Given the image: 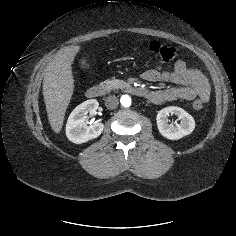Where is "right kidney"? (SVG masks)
Masks as SVG:
<instances>
[{
	"mask_svg": "<svg viewBox=\"0 0 236 236\" xmlns=\"http://www.w3.org/2000/svg\"><path fill=\"white\" fill-rule=\"evenodd\" d=\"M98 106L97 100L90 99L78 105L71 112L66 124V136L71 142L85 143L97 138L103 132V123L94 122L89 126L87 125L88 113L94 115Z\"/></svg>",
	"mask_w": 236,
	"mask_h": 236,
	"instance_id": "1",
	"label": "right kidney"
}]
</instances>
